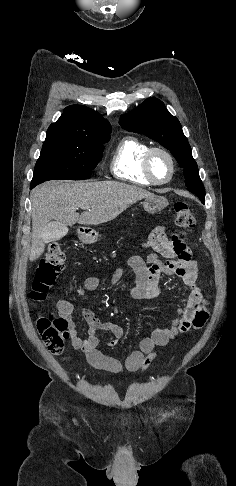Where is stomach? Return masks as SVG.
Here are the masks:
<instances>
[{"mask_svg": "<svg viewBox=\"0 0 236 486\" xmlns=\"http://www.w3.org/2000/svg\"><path fill=\"white\" fill-rule=\"evenodd\" d=\"M168 205V200L165 197L154 195L152 197H148L143 202L144 210L150 214L158 213L163 210ZM79 239L86 244L93 243L96 241L97 236L91 232L86 230L79 233Z\"/></svg>", "mask_w": 236, "mask_h": 486, "instance_id": "0dacf381", "label": "stomach"}]
</instances>
